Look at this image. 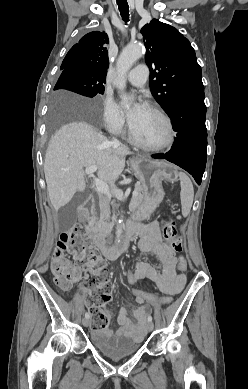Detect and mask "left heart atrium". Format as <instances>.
<instances>
[{
    "instance_id": "39dd6f15",
    "label": "left heart atrium",
    "mask_w": 248,
    "mask_h": 389,
    "mask_svg": "<svg viewBox=\"0 0 248 389\" xmlns=\"http://www.w3.org/2000/svg\"><path fill=\"white\" fill-rule=\"evenodd\" d=\"M145 106L141 102H136L132 109L128 112V119L130 124L133 123L136 118L142 113Z\"/></svg>"
}]
</instances>
